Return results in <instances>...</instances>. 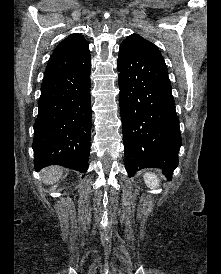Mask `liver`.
<instances>
[{"mask_svg": "<svg viewBox=\"0 0 221 274\" xmlns=\"http://www.w3.org/2000/svg\"><path fill=\"white\" fill-rule=\"evenodd\" d=\"M62 169L60 167L52 166L45 168L42 171L43 180L46 184L56 183L62 176Z\"/></svg>", "mask_w": 221, "mask_h": 274, "instance_id": "6515ba94", "label": "liver"}]
</instances>
